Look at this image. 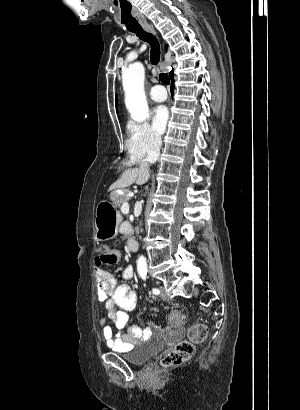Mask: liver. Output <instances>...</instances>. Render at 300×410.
<instances>
[{
  "label": "liver",
  "instance_id": "liver-1",
  "mask_svg": "<svg viewBox=\"0 0 300 410\" xmlns=\"http://www.w3.org/2000/svg\"><path fill=\"white\" fill-rule=\"evenodd\" d=\"M149 169L140 167L126 169L120 178L110 187V189H122L129 187L133 183L143 185L149 180Z\"/></svg>",
  "mask_w": 300,
  "mask_h": 410
}]
</instances>
